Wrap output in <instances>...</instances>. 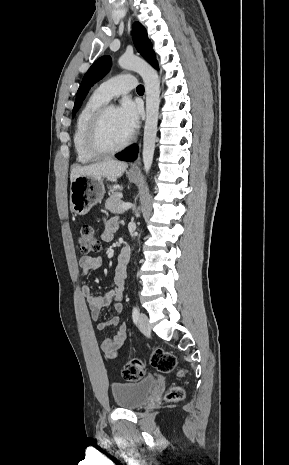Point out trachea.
<instances>
[{
	"label": "trachea",
	"instance_id": "3493384b",
	"mask_svg": "<svg viewBox=\"0 0 289 465\" xmlns=\"http://www.w3.org/2000/svg\"><path fill=\"white\" fill-rule=\"evenodd\" d=\"M137 92H138V93H144V86H143V85H139V86L137 87Z\"/></svg>",
	"mask_w": 289,
	"mask_h": 465
}]
</instances>
